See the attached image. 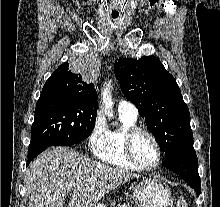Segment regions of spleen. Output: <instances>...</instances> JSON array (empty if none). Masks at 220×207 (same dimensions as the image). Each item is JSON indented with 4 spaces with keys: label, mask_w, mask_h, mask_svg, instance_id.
<instances>
[{
    "label": "spleen",
    "mask_w": 220,
    "mask_h": 207,
    "mask_svg": "<svg viewBox=\"0 0 220 207\" xmlns=\"http://www.w3.org/2000/svg\"><path fill=\"white\" fill-rule=\"evenodd\" d=\"M187 207L186 201L183 199V197H180L179 200L177 201V207Z\"/></svg>",
    "instance_id": "3e777b00"
}]
</instances>
